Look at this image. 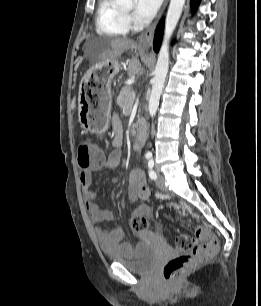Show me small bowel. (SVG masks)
I'll return each instance as SVG.
<instances>
[{"mask_svg": "<svg viewBox=\"0 0 261 306\" xmlns=\"http://www.w3.org/2000/svg\"><path fill=\"white\" fill-rule=\"evenodd\" d=\"M122 125L120 119L113 118V150L107 158H104L100 164L94 165L81 171L79 175L83 200L88 212L89 220L94 225V234L101 246L106 252L127 254L131 246L124 241V232L120 226L104 228L100 223L109 221L113 218V213L102 209L96 199L95 192L91 189L92 172L116 168L122 160ZM146 189V179L143 172L139 169H132L129 174L128 196L133 202H137L140 192ZM150 208L146 204H137L133 216L137 214L148 215Z\"/></svg>", "mask_w": 261, "mask_h": 306, "instance_id": "obj_1", "label": "small bowel"}]
</instances>
